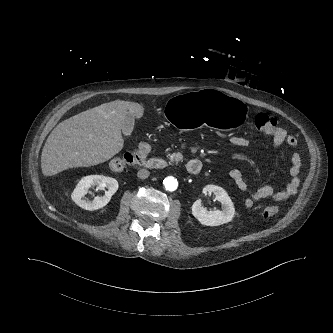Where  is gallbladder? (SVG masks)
Returning a JSON list of instances; mask_svg holds the SVG:
<instances>
[{"mask_svg":"<svg viewBox=\"0 0 333 333\" xmlns=\"http://www.w3.org/2000/svg\"><path fill=\"white\" fill-rule=\"evenodd\" d=\"M135 118L132 114L128 113L122 123V132L125 136H130L134 128Z\"/></svg>","mask_w":333,"mask_h":333,"instance_id":"1","label":"gallbladder"}]
</instances>
